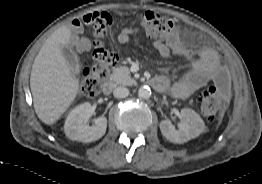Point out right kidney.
<instances>
[{
  "label": "right kidney",
  "mask_w": 262,
  "mask_h": 184,
  "mask_svg": "<svg viewBox=\"0 0 262 184\" xmlns=\"http://www.w3.org/2000/svg\"><path fill=\"white\" fill-rule=\"evenodd\" d=\"M91 112L90 103H84L69 113L64 124V132L69 139L87 143L96 141L105 134L107 128L106 117H98L92 126L85 124Z\"/></svg>",
  "instance_id": "obj_1"
}]
</instances>
